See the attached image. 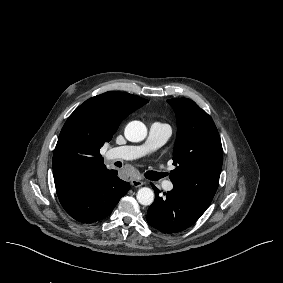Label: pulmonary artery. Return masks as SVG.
I'll use <instances>...</instances> for the list:
<instances>
[{"label":"pulmonary artery","mask_w":283,"mask_h":283,"mask_svg":"<svg viewBox=\"0 0 283 283\" xmlns=\"http://www.w3.org/2000/svg\"><path fill=\"white\" fill-rule=\"evenodd\" d=\"M171 135V130L162 124H152L149 128L146 142L140 146L126 145L113 147L108 151L109 157L114 160H132L139 159L147 153L161 147L165 144ZM159 187L165 191H171L174 184L168 178L159 180Z\"/></svg>","instance_id":"obj_1"}]
</instances>
